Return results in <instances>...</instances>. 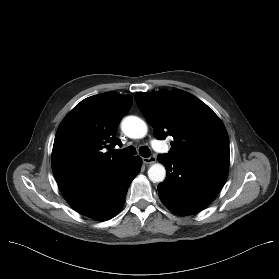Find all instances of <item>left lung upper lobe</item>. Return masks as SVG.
<instances>
[{
    "mask_svg": "<svg viewBox=\"0 0 279 279\" xmlns=\"http://www.w3.org/2000/svg\"><path fill=\"white\" fill-rule=\"evenodd\" d=\"M135 101L157 139L174 138L168 156L199 165L229 168L226 128L201 100L182 90L137 92Z\"/></svg>",
    "mask_w": 279,
    "mask_h": 279,
    "instance_id": "1",
    "label": "left lung upper lobe"
}]
</instances>
